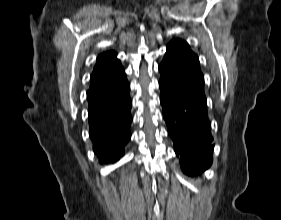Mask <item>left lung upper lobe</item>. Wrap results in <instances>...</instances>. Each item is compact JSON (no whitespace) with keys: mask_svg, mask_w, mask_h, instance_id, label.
<instances>
[{"mask_svg":"<svg viewBox=\"0 0 281 220\" xmlns=\"http://www.w3.org/2000/svg\"><path fill=\"white\" fill-rule=\"evenodd\" d=\"M177 48H182V49L191 51L190 46L188 45V43H186L185 41H183L181 39H173L168 44L167 51L173 50V49H177Z\"/></svg>","mask_w":281,"mask_h":220,"instance_id":"left-lung-upper-lobe-1","label":"left lung upper lobe"}]
</instances>
